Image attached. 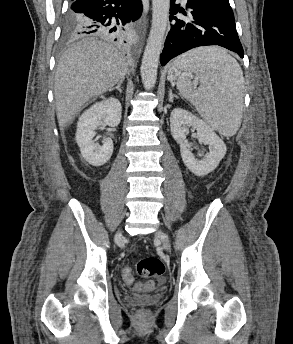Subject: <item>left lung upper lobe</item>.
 <instances>
[{"label":"left lung upper lobe","mask_w":293,"mask_h":344,"mask_svg":"<svg viewBox=\"0 0 293 344\" xmlns=\"http://www.w3.org/2000/svg\"><path fill=\"white\" fill-rule=\"evenodd\" d=\"M217 1L224 9L231 12L233 14L232 8L229 4V0H215Z\"/></svg>","instance_id":"5c2ea615"}]
</instances>
